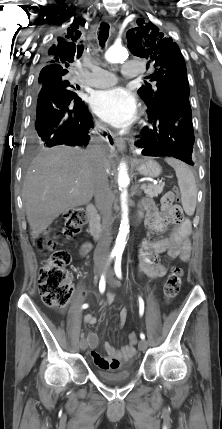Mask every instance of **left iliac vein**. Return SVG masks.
Here are the masks:
<instances>
[{
  "mask_svg": "<svg viewBox=\"0 0 222 429\" xmlns=\"http://www.w3.org/2000/svg\"><path fill=\"white\" fill-rule=\"evenodd\" d=\"M107 280L110 285L112 286L117 285V281L114 279L113 272L110 268L108 269V272H107ZM138 348L141 351H145L147 349V341L144 339L140 340L138 343Z\"/></svg>",
  "mask_w": 222,
  "mask_h": 429,
  "instance_id": "obj_1",
  "label": "left iliac vein"
}]
</instances>
